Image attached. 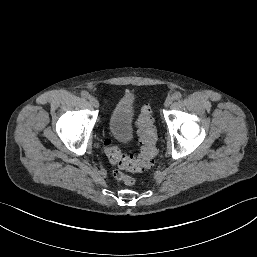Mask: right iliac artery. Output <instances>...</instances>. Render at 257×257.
Here are the masks:
<instances>
[{
    "instance_id": "1",
    "label": "right iliac artery",
    "mask_w": 257,
    "mask_h": 257,
    "mask_svg": "<svg viewBox=\"0 0 257 257\" xmlns=\"http://www.w3.org/2000/svg\"><path fill=\"white\" fill-rule=\"evenodd\" d=\"M81 96H82L83 98H86V99H88V98L90 97V95H89V93H88L87 91H82V92H81Z\"/></svg>"
}]
</instances>
